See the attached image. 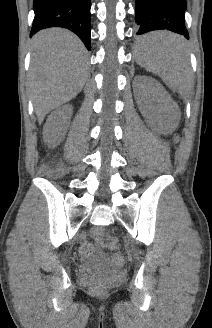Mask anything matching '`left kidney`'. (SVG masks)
Instances as JSON below:
<instances>
[{
  "label": "left kidney",
  "instance_id": "left-kidney-1",
  "mask_svg": "<svg viewBox=\"0 0 212 328\" xmlns=\"http://www.w3.org/2000/svg\"><path fill=\"white\" fill-rule=\"evenodd\" d=\"M134 85L135 98L146 121L151 123L153 111L148 99L153 97L161 109L160 119L157 122L159 131L163 134L172 133L180 119V110L176 102L156 80L150 77L138 76Z\"/></svg>",
  "mask_w": 212,
  "mask_h": 328
}]
</instances>
